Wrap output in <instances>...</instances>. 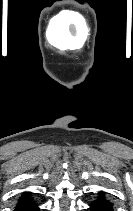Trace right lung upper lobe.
I'll use <instances>...</instances> for the list:
<instances>
[{"instance_id":"1","label":"right lung upper lobe","mask_w":133,"mask_h":211,"mask_svg":"<svg viewBox=\"0 0 133 211\" xmlns=\"http://www.w3.org/2000/svg\"><path fill=\"white\" fill-rule=\"evenodd\" d=\"M31 194H32V193H29V192H24V193H22V195H21V197L19 198L17 204L31 202V201H32Z\"/></svg>"}]
</instances>
